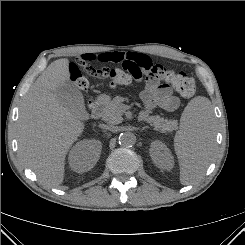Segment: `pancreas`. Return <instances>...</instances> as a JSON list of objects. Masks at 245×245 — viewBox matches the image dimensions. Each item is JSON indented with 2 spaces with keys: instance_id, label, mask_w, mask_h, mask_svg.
<instances>
[{
  "instance_id": "obj_1",
  "label": "pancreas",
  "mask_w": 245,
  "mask_h": 245,
  "mask_svg": "<svg viewBox=\"0 0 245 245\" xmlns=\"http://www.w3.org/2000/svg\"><path fill=\"white\" fill-rule=\"evenodd\" d=\"M123 101V97L116 96L103 114L102 119L109 124H119L122 121V115L125 111ZM147 122L154 128V130L160 132H171L178 127L177 120L164 119L159 116H150L147 119Z\"/></svg>"
}]
</instances>
